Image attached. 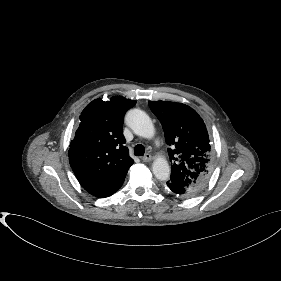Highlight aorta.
<instances>
[{"mask_svg": "<svg viewBox=\"0 0 281 281\" xmlns=\"http://www.w3.org/2000/svg\"><path fill=\"white\" fill-rule=\"evenodd\" d=\"M126 123L136 135L152 138L155 128L151 118L140 109H132L126 115ZM154 176L159 180H167L170 176V167L165 158H157L152 165Z\"/></svg>", "mask_w": 281, "mask_h": 281, "instance_id": "1", "label": "aorta"}]
</instances>
